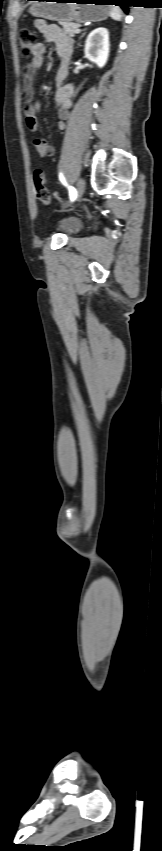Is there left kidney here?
Segmentation results:
<instances>
[{
    "label": "left kidney",
    "mask_w": 162,
    "mask_h": 851,
    "mask_svg": "<svg viewBox=\"0 0 162 851\" xmlns=\"http://www.w3.org/2000/svg\"><path fill=\"white\" fill-rule=\"evenodd\" d=\"M109 32L104 27L94 29L85 42V57L99 68L105 66L109 57Z\"/></svg>",
    "instance_id": "5707ae66"
}]
</instances>
